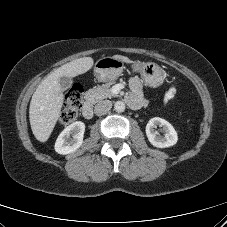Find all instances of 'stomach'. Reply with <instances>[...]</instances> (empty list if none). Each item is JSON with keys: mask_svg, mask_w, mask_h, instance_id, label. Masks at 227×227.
Here are the masks:
<instances>
[{"mask_svg": "<svg viewBox=\"0 0 227 227\" xmlns=\"http://www.w3.org/2000/svg\"><path fill=\"white\" fill-rule=\"evenodd\" d=\"M124 69V62L112 57L99 59L94 66V73L100 81H112L118 78ZM133 70L138 71L145 84L150 87H158L163 83V72L158 65L152 62H133Z\"/></svg>", "mask_w": 227, "mask_h": 227, "instance_id": "stomach-1", "label": "stomach"}]
</instances>
